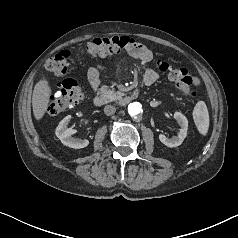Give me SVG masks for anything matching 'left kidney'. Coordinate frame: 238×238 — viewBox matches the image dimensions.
<instances>
[{
    "label": "left kidney",
    "mask_w": 238,
    "mask_h": 238,
    "mask_svg": "<svg viewBox=\"0 0 238 238\" xmlns=\"http://www.w3.org/2000/svg\"><path fill=\"white\" fill-rule=\"evenodd\" d=\"M174 119L180 126L179 133L176 137L168 138L164 134H159V140L167 147H177L182 144L187 136L188 120L181 112L174 113Z\"/></svg>",
    "instance_id": "5707ae66"
}]
</instances>
